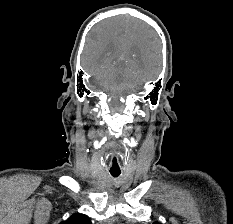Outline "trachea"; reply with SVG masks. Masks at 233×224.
<instances>
[{"mask_svg":"<svg viewBox=\"0 0 233 224\" xmlns=\"http://www.w3.org/2000/svg\"><path fill=\"white\" fill-rule=\"evenodd\" d=\"M110 174L112 175V177L116 178L121 174V172H110Z\"/></svg>","mask_w":233,"mask_h":224,"instance_id":"trachea-1","label":"trachea"}]
</instances>
